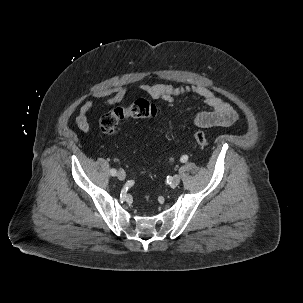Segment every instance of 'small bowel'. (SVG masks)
<instances>
[{
  "mask_svg": "<svg viewBox=\"0 0 303 303\" xmlns=\"http://www.w3.org/2000/svg\"><path fill=\"white\" fill-rule=\"evenodd\" d=\"M141 89L153 99H161L169 104H173L175 99L187 94H195L201 97L210 107V110L198 113L193 122L203 128L229 127L238 119L236 111L232 106L217 96L207 87L181 86L175 87L166 83L146 84ZM126 96L124 86H116L107 90H102L94 95V99L82 104L76 117V126L82 132L89 130L88 114L99 104L114 105L121 102Z\"/></svg>",
  "mask_w": 303,
  "mask_h": 303,
  "instance_id": "c3829d8e",
  "label": "small bowel"
}]
</instances>
